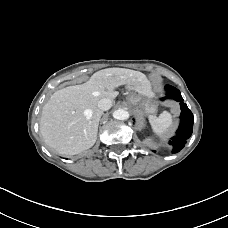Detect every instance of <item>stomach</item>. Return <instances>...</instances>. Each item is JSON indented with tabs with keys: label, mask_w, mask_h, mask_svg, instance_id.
I'll use <instances>...</instances> for the list:
<instances>
[{
	"label": "stomach",
	"mask_w": 228,
	"mask_h": 228,
	"mask_svg": "<svg viewBox=\"0 0 228 228\" xmlns=\"http://www.w3.org/2000/svg\"><path fill=\"white\" fill-rule=\"evenodd\" d=\"M126 102L137 110H144L152 114L156 112V106L151 102L149 96L130 94L127 96Z\"/></svg>",
	"instance_id": "1"
}]
</instances>
